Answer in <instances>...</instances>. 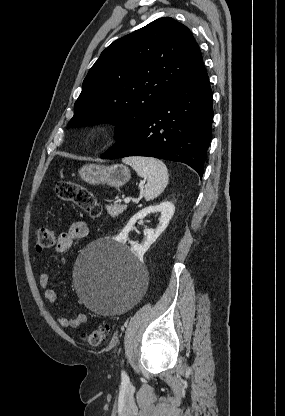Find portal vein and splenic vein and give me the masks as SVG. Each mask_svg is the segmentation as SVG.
Returning <instances> with one entry per match:
<instances>
[{
  "mask_svg": "<svg viewBox=\"0 0 285 416\" xmlns=\"http://www.w3.org/2000/svg\"><path fill=\"white\" fill-rule=\"evenodd\" d=\"M143 182H144V180H143ZM124 202H125V204H129V202H131V198H125Z\"/></svg>",
  "mask_w": 285,
  "mask_h": 416,
  "instance_id": "portal-vein-and-splenic-vein-1",
  "label": "portal vein and splenic vein"
}]
</instances>
